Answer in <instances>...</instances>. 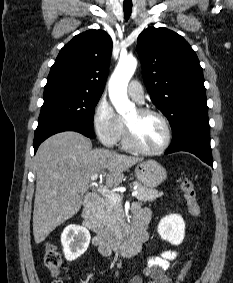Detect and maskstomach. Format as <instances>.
I'll list each match as a JSON object with an SVG mask.
<instances>
[{
    "label": "stomach",
    "mask_w": 233,
    "mask_h": 283,
    "mask_svg": "<svg viewBox=\"0 0 233 283\" xmlns=\"http://www.w3.org/2000/svg\"><path fill=\"white\" fill-rule=\"evenodd\" d=\"M137 180L145 187L154 188L164 182L167 178L165 168L155 160H147L135 167Z\"/></svg>",
    "instance_id": "0dacf381"
}]
</instances>
